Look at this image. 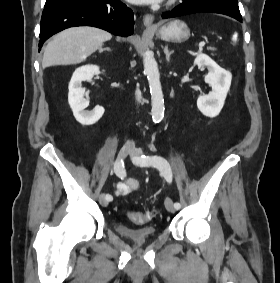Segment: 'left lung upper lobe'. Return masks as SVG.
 <instances>
[{
	"label": "left lung upper lobe",
	"instance_id": "obj_1",
	"mask_svg": "<svg viewBox=\"0 0 280 283\" xmlns=\"http://www.w3.org/2000/svg\"><path fill=\"white\" fill-rule=\"evenodd\" d=\"M185 2H206L225 7L237 14H240L238 0H183Z\"/></svg>",
	"mask_w": 280,
	"mask_h": 283
}]
</instances>
